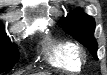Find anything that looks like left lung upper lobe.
<instances>
[{
	"label": "left lung upper lobe",
	"mask_w": 107,
	"mask_h": 75,
	"mask_svg": "<svg viewBox=\"0 0 107 75\" xmlns=\"http://www.w3.org/2000/svg\"><path fill=\"white\" fill-rule=\"evenodd\" d=\"M60 23L66 33L87 47L93 57L97 58V42L93 36L95 21L91 16L77 9L66 18H62Z\"/></svg>",
	"instance_id": "left-lung-upper-lobe-1"
}]
</instances>
